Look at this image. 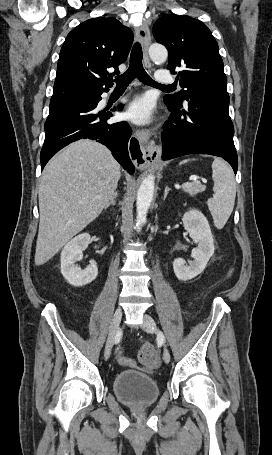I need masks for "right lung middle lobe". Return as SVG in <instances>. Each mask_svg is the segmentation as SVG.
Segmentation results:
<instances>
[{
  "label": "right lung middle lobe",
  "instance_id": "1",
  "mask_svg": "<svg viewBox=\"0 0 272 455\" xmlns=\"http://www.w3.org/2000/svg\"><path fill=\"white\" fill-rule=\"evenodd\" d=\"M95 98H96V96H91V97L77 98V99H72V100H67V101H62V102L50 103V111L58 109L63 106H67V105L83 106V105H86V104L92 102Z\"/></svg>",
  "mask_w": 272,
  "mask_h": 455
}]
</instances>
